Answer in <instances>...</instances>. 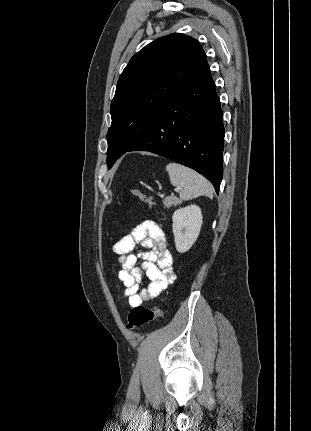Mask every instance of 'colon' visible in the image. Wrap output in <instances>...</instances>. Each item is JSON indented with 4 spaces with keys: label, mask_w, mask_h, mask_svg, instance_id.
<instances>
[{
    "label": "colon",
    "mask_w": 311,
    "mask_h": 431,
    "mask_svg": "<svg viewBox=\"0 0 311 431\" xmlns=\"http://www.w3.org/2000/svg\"><path fill=\"white\" fill-rule=\"evenodd\" d=\"M130 192L134 197L138 198L144 204H147L149 206L156 205V202L143 191L138 189H132ZM159 315V307H154L152 309L146 308L141 305L134 307L128 314V327L132 329L141 327L146 323L154 320Z\"/></svg>",
    "instance_id": "5ec220e1"
}]
</instances>
